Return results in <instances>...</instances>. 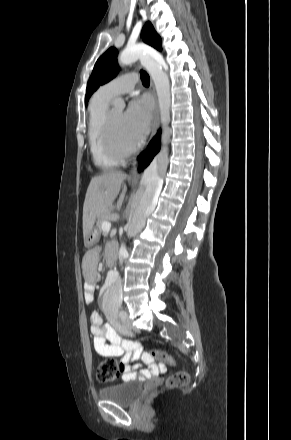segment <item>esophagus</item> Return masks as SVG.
<instances>
[{
	"label": "esophagus",
	"instance_id": "1",
	"mask_svg": "<svg viewBox=\"0 0 291 440\" xmlns=\"http://www.w3.org/2000/svg\"><path fill=\"white\" fill-rule=\"evenodd\" d=\"M151 92L154 98V112H153V124H152V136H154L159 123V104H158L156 89L152 80H151ZM138 176H139L138 164L135 163V166L130 173V180L133 184L137 183Z\"/></svg>",
	"mask_w": 291,
	"mask_h": 440
}]
</instances>
